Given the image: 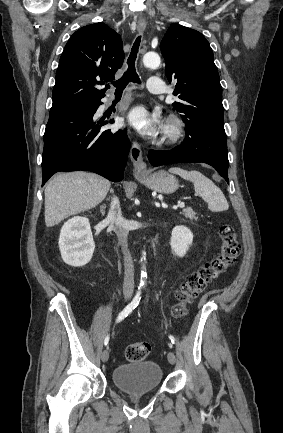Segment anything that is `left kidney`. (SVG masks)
Wrapping results in <instances>:
<instances>
[{
	"label": "left kidney",
	"mask_w": 283,
	"mask_h": 433,
	"mask_svg": "<svg viewBox=\"0 0 283 433\" xmlns=\"http://www.w3.org/2000/svg\"><path fill=\"white\" fill-rule=\"evenodd\" d=\"M193 241V233L186 226H176L172 230L170 246L175 255L183 257Z\"/></svg>",
	"instance_id": "5707ae66"
}]
</instances>
